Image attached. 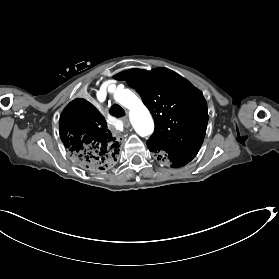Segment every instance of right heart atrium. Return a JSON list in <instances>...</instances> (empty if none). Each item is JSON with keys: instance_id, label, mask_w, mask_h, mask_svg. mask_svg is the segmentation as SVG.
<instances>
[{"instance_id": "d8ad5b80", "label": "right heart atrium", "mask_w": 279, "mask_h": 279, "mask_svg": "<svg viewBox=\"0 0 279 279\" xmlns=\"http://www.w3.org/2000/svg\"><path fill=\"white\" fill-rule=\"evenodd\" d=\"M135 113H143V109H140V110H138V111L135 112Z\"/></svg>"}]
</instances>
